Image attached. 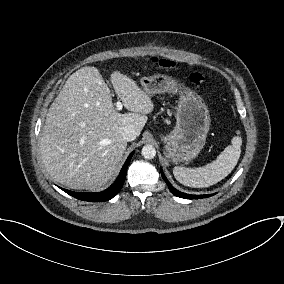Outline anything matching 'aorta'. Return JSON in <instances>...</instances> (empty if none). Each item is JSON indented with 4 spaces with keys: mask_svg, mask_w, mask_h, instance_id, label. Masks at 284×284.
I'll return each mask as SVG.
<instances>
[{
    "mask_svg": "<svg viewBox=\"0 0 284 284\" xmlns=\"http://www.w3.org/2000/svg\"><path fill=\"white\" fill-rule=\"evenodd\" d=\"M141 154L145 159H153L156 155V149L154 146L146 144L143 146Z\"/></svg>",
    "mask_w": 284,
    "mask_h": 284,
    "instance_id": "762f6f07",
    "label": "aorta"
}]
</instances>
